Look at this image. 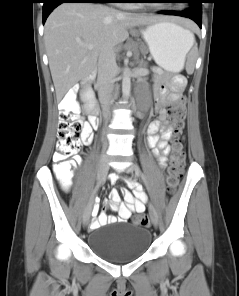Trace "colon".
<instances>
[{"instance_id": "obj_1", "label": "colon", "mask_w": 239, "mask_h": 296, "mask_svg": "<svg viewBox=\"0 0 239 296\" xmlns=\"http://www.w3.org/2000/svg\"><path fill=\"white\" fill-rule=\"evenodd\" d=\"M175 79L180 81L184 80L179 77ZM76 112L77 105L74 98L67 97L61 102L54 168L57 177L64 186L69 183L73 174L75 162L72 158L81 148V124L75 119ZM168 116L172 122L175 133L172 141L173 149L169 160L166 182L168 191L174 193L179 184V178L185 164V148L182 130L185 122L186 107L183 98L170 106ZM132 222L138 226H147L148 217L145 214H136L133 216Z\"/></svg>"}]
</instances>
